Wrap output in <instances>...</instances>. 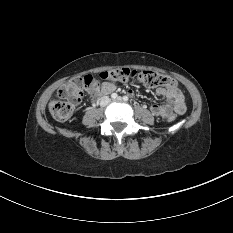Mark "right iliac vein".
Wrapping results in <instances>:
<instances>
[{
	"instance_id": "63e3f726",
	"label": "right iliac vein",
	"mask_w": 233,
	"mask_h": 233,
	"mask_svg": "<svg viewBox=\"0 0 233 233\" xmlns=\"http://www.w3.org/2000/svg\"><path fill=\"white\" fill-rule=\"evenodd\" d=\"M104 103L105 104L109 103V99L104 100Z\"/></svg>"
}]
</instances>
